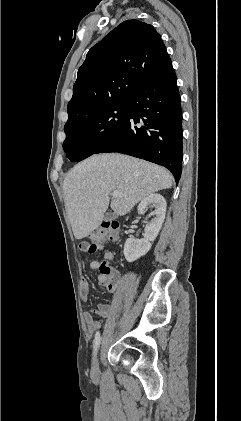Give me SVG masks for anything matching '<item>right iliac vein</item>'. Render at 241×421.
Instances as JSON below:
<instances>
[{"label": "right iliac vein", "mask_w": 241, "mask_h": 421, "mask_svg": "<svg viewBox=\"0 0 241 421\" xmlns=\"http://www.w3.org/2000/svg\"><path fill=\"white\" fill-rule=\"evenodd\" d=\"M97 372H98V357L96 354L93 360V364H92V373L96 374Z\"/></svg>", "instance_id": "obj_1"}]
</instances>
